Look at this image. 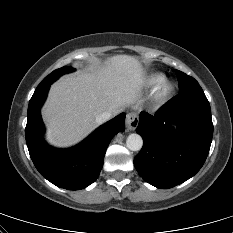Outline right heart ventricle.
<instances>
[{"label": "right heart ventricle", "instance_id": "right-heart-ventricle-1", "mask_svg": "<svg viewBox=\"0 0 233 233\" xmlns=\"http://www.w3.org/2000/svg\"><path fill=\"white\" fill-rule=\"evenodd\" d=\"M161 79H162V74L156 73V74L151 75L148 78L147 83H148V85L153 86V85L159 83L161 81Z\"/></svg>", "mask_w": 233, "mask_h": 233}]
</instances>
